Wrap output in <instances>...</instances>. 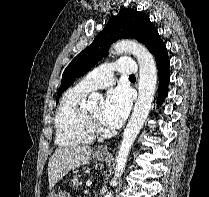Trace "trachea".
<instances>
[{"mask_svg": "<svg viewBox=\"0 0 209 197\" xmlns=\"http://www.w3.org/2000/svg\"><path fill=\"white\" fill-rule=\"evenodd\" d=\"M129 78H135V76L134 75H130Z\"/></svg>", "mask_w": 209, "mask_h": 197, "instance_id": "1", "label": "trachea"}]
</instances>
